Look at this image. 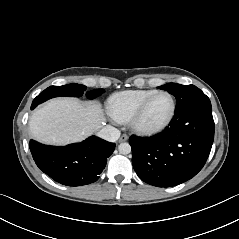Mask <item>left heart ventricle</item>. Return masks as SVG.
I'll return each mask as SVG.
<instances>
[{"label": "left heart ventricle", "instance_id": "1", "mask_svg": "<svg viewBox=\"0 0 239 239\" xmlns=\"http://www.w3.org/2000/svg\"><path fill=\"white\" fill-rule=\"evenodd\" d=\"M171 100L166 95L155 97L145 109L141 122L147 126H155L162 123L171 112Z\"/></svg>", "mask_w": 239, "mask_h": 239}]
</instances>
